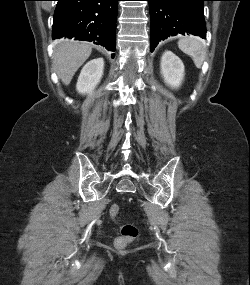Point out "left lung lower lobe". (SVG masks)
<instances>
[{
  "label": "left lung lower lobe",
  "instance_id": "0a47b994",
  "mask_svg": "<svg viewBox=\"0 0 250 285\" xmlns=\"http://www.w3.org/2000/svg\"><path fill=\"white\" fill-rule=\"evenodd\" d=\"M151 18V52L159 41L177 34L206 38L203 2L207 0H146Z\"/></svg>",
  "mask_w": 250,
  "mask_h": 285
}]
</instances>
